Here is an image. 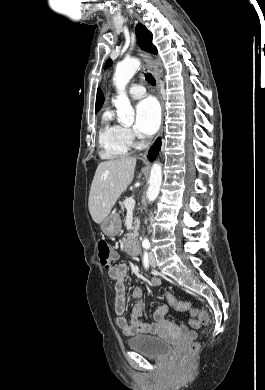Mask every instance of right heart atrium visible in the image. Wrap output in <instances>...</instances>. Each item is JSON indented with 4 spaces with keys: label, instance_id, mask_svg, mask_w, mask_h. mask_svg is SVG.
<instances>
[{
    "label": "right heart atrium",
    "instance_id": "d8ad5b80",
    "mask_svg": "<svg viewBox=\"0 0 265 390\" xmlns=\"http://www.w3.org/2000/svg\"><path fill=\"white\" fill-rule=\"evenodd\" d=\"M126 137L131 146H138L142 143L143 138L132 128H125Z\"/></svg>",
    "mask_w": 265,
    "mask_h": 390
}]
</instances>
